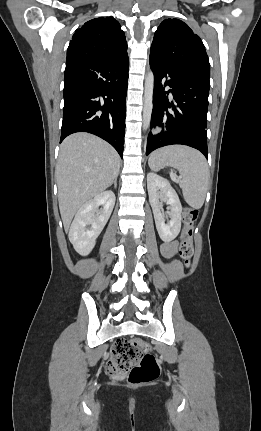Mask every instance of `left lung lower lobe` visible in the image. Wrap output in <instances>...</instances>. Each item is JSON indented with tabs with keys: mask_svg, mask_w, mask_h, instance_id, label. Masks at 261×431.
I'll return each mask as SVG.
<instances>
[{
	"mask_svg": "<svg viewBox=\"0 0 261 431\" xmlns=\"http://www.w3.org/2000/svg\"><path fill=\"white\" fill-rule=\"evenodd\" d=\"M154 73L153 111L146 155L173 144L188 145L208 159L207 109L209 77L170 65L150 55ZM168 78L165 82L163 78ZM169 86L171 90L165 91ZM171 93L173 100L169 101Z\"/></svg>",
	"mask_w": 261,
	"mask_h": 431,
	"instance_id": "0a47b994",
	"label": "left lung lower lobe"
}]
</instances>
